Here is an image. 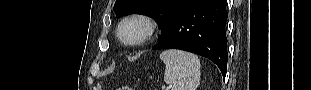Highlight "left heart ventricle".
<instances>
[{
	"label": "left heart ventricle",
	"instance_id": "obj_1",
	"mask_svg": "<svg viewBox=\"0 0 311 90\" xmlns=\"http://www.w3.org/2000/svg\"><path fill=\"white\" fill-rule=\"evenodd\" d=\"M138 32H139L138 28H129L126 33L129 36H134L138 34Z\"/></svg>",
	"mask_w": 311,
	"mask_h": 90
}]
</instances>
